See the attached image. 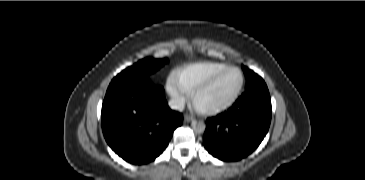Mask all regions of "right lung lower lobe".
Wrapping results in <instances>:
<instances>
[{"label": "right lung lower lobe", "mask_w": 365, "mask_h": 180, "mask_svg": "<svg viewBox=\"0 0 365 180\" xmlns=\"http://www.w3.org/2000/svg\"><path fill=\"white\" fill-rule=\"evenodd\" d=\"M183 115L172 111L162 87L148 78L108 88L102 105V131L108 145L129 163L153 161L167 147Z\"/></svg>", "instance_id": "1"}]
</instances>
